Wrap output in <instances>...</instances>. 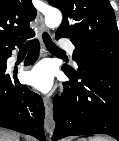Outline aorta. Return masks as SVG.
I'll return each mask as SVG.
<instances>
[{"label": "aorta", "mask_w": 119, "mask_h": 141, "mask_svg": "<svg viewBox=\"0 0 119 141\" xmlns=\"http://www.w3.org/2000/svg\"><path fill=\"white\" fill-rule=\"evenodd\" d=\"M61 21L62 15L59 10L51 8L45 13V24L47 27H58L61 24Z\"/></svg>", "instance_id": "obj_1"}]
</instances>
